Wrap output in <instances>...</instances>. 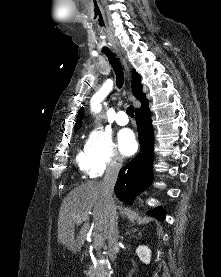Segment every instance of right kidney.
<instances>
[{
	"label": "right kidney",
	"mask_w": 221,
	"mask_h": 277,
	"mask_svg": "<svg viewBox=\"0 0 221 277\" xmlns=\"http://www.w3.org/2000/svg\"><path fill=\"white\" fill-rule=\"evenodd\" d=\"M136 253L139 257V259L145 263V264H149L151 261V250L147 247V246H139L136 249Z\"/></svg>",
	"instance_id": "obj_1"
}]
</instances>
